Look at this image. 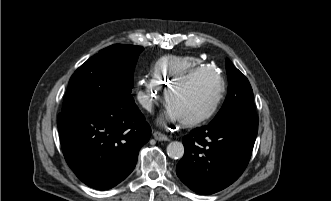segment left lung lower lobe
<instances>
[{
  "label": "left lung lower lobe",
  "mask_w": 331,
  "mask_h": 201,
  "mask_svg": "<svg viewBox=\"0 0 331 201\" xmlns=\"http://www.w3.org/2000/svg\"><path fill=\"white\" fill-rule=\"evenodd\" d=\"M258 132V117L235 116L212 120L183 138L185 153L176 173L199 194L216 193L245 170Z\"/></svg>",
  "instance_id": "1"
}]
</instances>
